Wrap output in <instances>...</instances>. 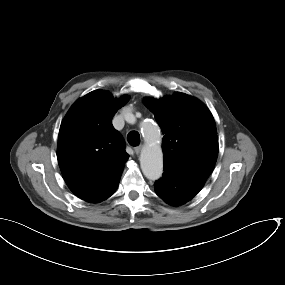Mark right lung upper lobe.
<instances>
[{
    "mask_svg": "<svg viewBox=\"0 0 285 285\" xmlns=\"http://www.w3.org/2000/svg\"><path fill=\"white\" fill-rule=\"evenodd\" d=\"M96 90L77 100L60 126L57 159L63 178L80 199L98 203L117 189L129 155L114 129V114L128 102Z\"/></svg>",
    "mask_w": 285,
    "mask_h": 285,
    "instance_id": "right-lung-upper-lobe-1",
    "label": "right lung upper lobe"
}]
</instances>
